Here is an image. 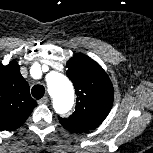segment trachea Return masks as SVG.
Returning <instances> with one entry per match:
<instances>
[{
  "label": "trachea",
  "mask_w": 153,
  "mask_h": 153,
  "mask_svg": "<svg viewBox=\"0 0 153 153\" xmlns=\"http://www.w3.org/2000/svg\"><path fill=\"white\" fill-rule=\"evenodd\" d=\"M34 98L41 99L44 96L45 88L42 85H34L31 89Z\"/></svg>",
  "instance_id": "1"
}]
</instances>
